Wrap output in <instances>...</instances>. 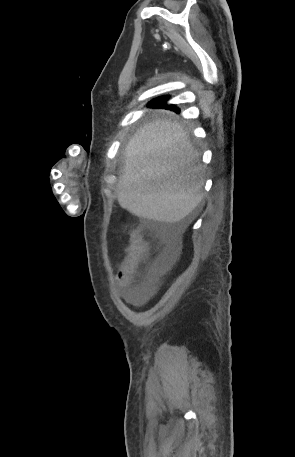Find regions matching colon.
I'll use <instances>...</instances> for the list:
<instances>
[{
    "label": "colon",
    "instance_id": "colon-1",
    "mask_svg": "<svg viewBox=\"0 0 295 457\" xmlns=\"http://www.w3.org/2000/svg\"><path fill=\"white\" fill-rule=\"evenodd\" d=\"M147 255V244L138 232H133L130 237L127 256L123 262L121 272L133 273L143 262Z\"/></svg>",
    "mask_w": 295,
    "mask_h": 457
}]
</instances>
